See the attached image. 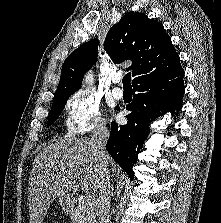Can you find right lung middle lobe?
Returning a JSON list of instances; mask_svg holds the SVG:
<instances>
[{
  "label": "right lung middle lobe",
  "mask_w": 221,
  "mask_h": 223,
  "mask_svg": "<svg viewBox=\"0 0 221 223\" xmlns=\"http://www.w3.org/2000/svg\"><path fill=\"white\" fill-rule=\"evenodd\" d=\"M68 98H63V99L53 101L51 112H50L49 117H48L47 126L51 125L54 122V120L58 118V116L60 115V113L64 109L66 101L68 100Z\"/></svg>",
  "instance_id": "obj_1"
}]
</instances>
